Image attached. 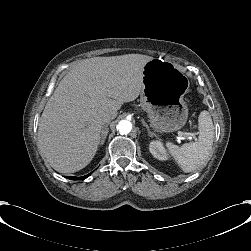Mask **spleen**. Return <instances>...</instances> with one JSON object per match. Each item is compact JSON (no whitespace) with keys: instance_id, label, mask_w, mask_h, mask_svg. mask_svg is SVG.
Masks as SVG:
<instances>
[{"instance_id":"obj_1","label":"spleen","mask_w":251,"mask_h":251,"mask_svg":"<svg viewBox=\"0 0 251 251\" xmlns=\"http://www.w3.org/2000/svg\"><path fill=\"white\" fill-rule=\"evenodd\" d=\"M198 141L181 147L167 142L166 146L181 169L188 173L200 168L209 158L214 138V126L210 113L202 111L198 117Z\"/></svg>"}]
</instances>
